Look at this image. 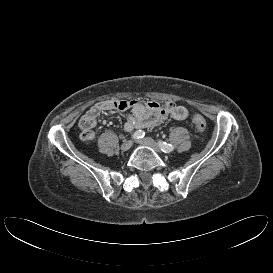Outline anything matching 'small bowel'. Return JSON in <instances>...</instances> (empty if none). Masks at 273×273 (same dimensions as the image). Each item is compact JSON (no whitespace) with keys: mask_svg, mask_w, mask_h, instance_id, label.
Listing matches in <instances>:
<instances>
[{"mask_svg":"<svg viewBox=\"0 0 273 273\" xmlns=\"http://www.w3.org/2000/svg\"><path fill=\"white\" fill-rule=\"evenodd\" d=\"M128 111L124 124L126 131L134 129H150L171 117L175 120H185L189 112L186 107L170 101L157 103L154 101L106 100L93 105L79 120L80 138L91 141L95 137L94 127L99 115L104 111Z\"/></svg>","mask_w":273,"mask_h":273,"instance_id":"c3829d8e","label":"small bowel"}]
</instances>
